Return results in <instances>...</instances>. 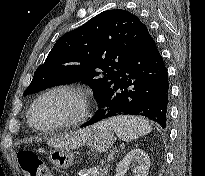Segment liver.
Returning a JSON list of instances; mask_svg holds the SVG:
<instances>
[{
  "label": "liver",
  "instance_id": "1",
  "mask_svg": "<svg viewBox=\"0 0 205 176\" xmlns=\"http://www.w3.org/2000/svg\"><path fill=\"white\" fill-rule=\"evenodd\" d=\"M90 133L91 128L80 129L65 135L61 139L50 140L49 144L62 149H76L77 147L83 146L88 141Z\"/></svg>",
  "mask_w": 205,
  "mask_h": 176
}]
</instances>
